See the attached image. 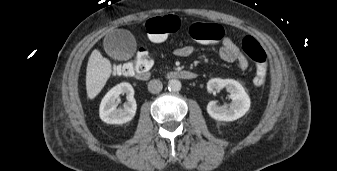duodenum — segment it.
Listing matches in <instances>:
<instances>
[{"mask_svg": "<svg viewBox=\"0 0 337 171\" xmlns=\"http://www.w3.org/2000/svg\"><path fill=\"white\" fill-rule=\"evenodd\" d=\"M135 77L138 80H147L150 77V73L148 69L136 70L134 72ZM197 73L187 70H171L168 71L166 77L168 79H182V80H193L197 78Z\"/></svg>", "mask_w": 337, "mask_h": 171, "instance_id": "duodenum-1", "label": "duodenum"}]
</instances>
